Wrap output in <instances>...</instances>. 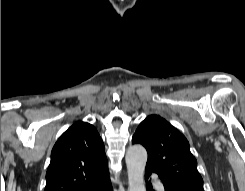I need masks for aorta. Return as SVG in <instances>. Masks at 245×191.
Here are the masks:
<instances>
[{"instance_id": "aorta-1", "label": "aorta", "mask_w": 245, "mask_h": 191, "mask_svg": "<svg viewBox=\"0 0 245 191\" xmlns=\"http://www.w3.org/2000/svg\"><path fill=\"white\" fill-rule=\"evenodd\" d=\"M128 172V191H146L144 171L147 152L141 145L130 146L125 156Z\"/></svg>"}]
</instances>
